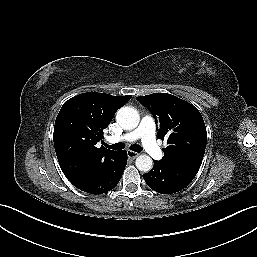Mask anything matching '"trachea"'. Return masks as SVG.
Instances as JSON below:
<instances>
[{"mask_svg": "<svg viewBox=\"0 0 257 257\" xmlns=\"http://www.w3.org/2000/svg\"><path fill=\"white\" fill-rule=\"evenodd\" d=\"M104 146L106 148L113 149V150H121V149L125 148V144H123V143H116V144H112V145H108V144L104 143ZM130 149L135 151V152H141L142 151V147L137 145V144L131 145Z\"/></svg>", "mask_w": 257, "mask_h": 257, "instance_id": "trachea-1", "label": "trachea"}]
</instances>
